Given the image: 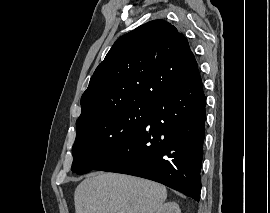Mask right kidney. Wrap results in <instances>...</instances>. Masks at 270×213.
<instances>
[{"instance_id":"ca27d5eb","label":"right kidney","mask_w":270,"mask_h":213,"mask_svg":"<svg viewBox=\"0 0 270 213\" xmlns=\"http://www.w3.org/2000/svg\"><path fill=\"white\" fill-rule=\"evenodd\" d=\"M156 213H181L179 205L175 202H166L161 205Z\"/></svg>"}]
</instances>
